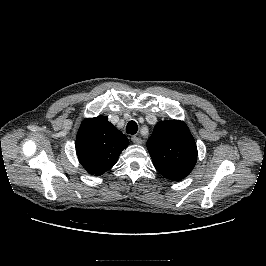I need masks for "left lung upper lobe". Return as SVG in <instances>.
I'll return each instance as SVG.
<instances>
[{
	"label": "left lung upper lobe",
	"mask_w": 266,
	"mask_h": 266,
	"mask_svg": "<svg viewBox=\"0 0 266 266\" xmlns=\"http://www.w3.org/2000/svg\"><path fill=\"white\" fill-rule=\"evenodd\" d=\"M147 149L156 170L174 181L188 176L197 161L195 140L187 125L179 120L158 122L147 141Z\"/></svg>",
	"instance_id": "1"
}]
</instances>
